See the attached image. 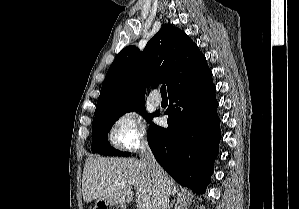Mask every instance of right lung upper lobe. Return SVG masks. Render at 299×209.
Wrapping results in <instances>:
<instances>
[{
    "instance_id": "obj_1",
    "label": "right lung upper lobe",
    "mask_w": 299,
    "mask_h": 209,
    "mask_svg": "<svg viewBox=\"0 0 299 209\" xmlns=\"http://www.w3.org/2000/svg\"><path fill=\"white\" fill-rule=\"evenodd\" d=\"M210 72L197 45L180 29L163 24L143 52L127 46L117 55L102 84L95 115L144 104L145 87L165 82L169 93Z\"/></svg>"
}]
</instances>
